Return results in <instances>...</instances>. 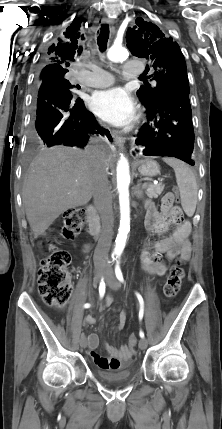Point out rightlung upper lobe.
Returning <instances> with one entry per match:
<instances>
[{
    "label": "right lung upper lobe",
    "mask_w": 222,
    "mask_h": 429,
    "mask_svg": "<svg viewBox=\"0 0 222 429\" xmlns=\"http://www.w3.org/2000/svg\"><path fill=\"white\" fill-rule=\"evenodd\" d=\"M78 30L79 24H72L55 43L46 49L47 65L41 71V75H66L67 67L82 52L83 35Z\"/></svg>",
    "instance_id": "obj_1"
}]
</instances>
